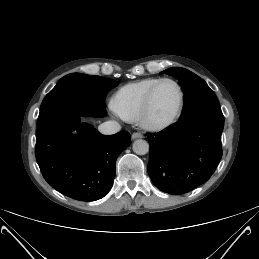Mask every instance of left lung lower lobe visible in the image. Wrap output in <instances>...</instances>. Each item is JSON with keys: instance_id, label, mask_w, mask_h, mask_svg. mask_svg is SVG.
<instances>
[{"instance_id": "0a47b994", "label": "left lung lower lobe", "mask_w": 259, "mask_h": 259, "mask_svg": "<svg viewBox=\"0 0 259 259\" xmlns=\"http://www.w3.org/2000/svg\"><path fill=\"white\" fill-rule=\"evenodd\" d=\"M223 127L222 111L213 110L147 134L153 184L162 192L181 195L208 181L222 156Z\"/></svg>"}]
</instances>
